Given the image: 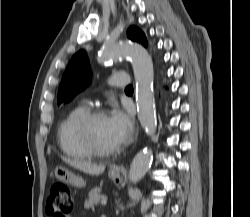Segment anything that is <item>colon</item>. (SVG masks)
Wrapping results in <instances>:
<instances>
[{"mask_svg": "<svg viewBox=\"0 0 250 217\" xmlns=\"http://www.w3.org/2000/svg\"><path fill=\"white\" fill-rule=\"evenodd\" d=\"M73 209V199L67 185L56 183L50 190L46 202V212L49 217H70Z\"/></svg>", "mask_w": 250, "mask_h": 217, "instance_id": "1", "label": "colon"}]
</instances>
